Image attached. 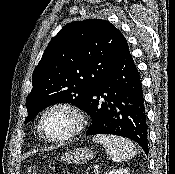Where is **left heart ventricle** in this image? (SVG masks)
<instances>
[{
  "label": "left heart ventricle",
  "instance_id": "left-heart-ventricle-1",
  "mask_svg": "<svg viewBox=\"0 0 175 174\" xmlns=\"http://www.w3.org/2000/svg\"><path fill=\"white\" fill-rule=\"evenodd\" d=\"M75 117L68 111L58 109L50 112L44 119L43 130L52 138L68 134L75 126Z\"/></svg>",
  "mask_w": 175,
  "mask_h": 174
}]
</instances>
